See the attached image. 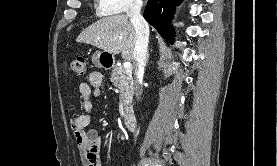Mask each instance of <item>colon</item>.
<instances>
[{
    "label": "colon",
    "instance_id": "obj_1",
    "mask_svg": "<svg viewBox=\"0 0 277 166\" xmlns=\"http://www.w3.org/2000/svg\"><path fill=\"white\" fill-rule=\"evenodd\" d=\"M71 70L78 76L86 72V59L83 56H76L70 64Z\"/></svg>",
    "mask_w": 277,
    "mask_h": 166
}]
</instances>
